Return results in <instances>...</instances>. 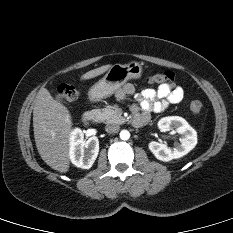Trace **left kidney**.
<instances>
[{"mask_svg": "<svg viewBox=\"0 0 233 233\" xmlns=\"http://www.w3.org/2000/svg\"><path fill=\"white\" fill-rule=\"evenodd\" d=\"M158 127L162 132L173 130L180 134V143L174 147L152 141L148 147L154 156L163 162L178 159L189 153L197 144V132L188 122L179 116L164 117L158 122Z\"/></svg>", "mask_w": 233, "mask_h": 233, "instance_id": "1", "label": "left kidney"}]
</instances>
